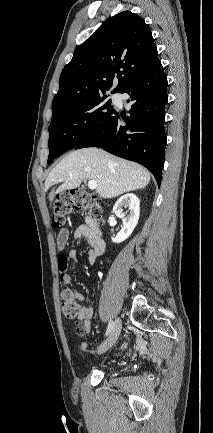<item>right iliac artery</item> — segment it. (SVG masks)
<instances>
[{
  "mask_svg": "<svg viewBox=\"0 0 213 433\" xmlns=\"http://www.w3.org/2000/svg\"><path fill=\"white\" fill-rule=\"evenodd\" d=\"M114 327V322L112 320L109 321L108 327H107V331H106V335L110 334L112 329Z\"/></svg>",
  "mask_w": 213,
  "mask_h": 433,
  "instance_id": "1",
  "label": "right iliac artery"
}]
</instances>
